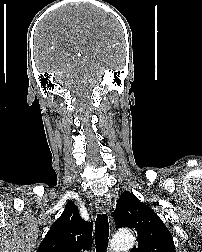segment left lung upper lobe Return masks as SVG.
I'll return each mask as SVG.
<instances>
[{"mask_svg":"<svg viewBox=\"0 0 202 252\" xmlns=\"http://www.w3.org/2000/svg\"><path fill=\"white\" fill-rule=\"evenodd\" d=\"M118 228L136 232L137 245L130 252H176L171 233L159 216L130 192L121 194L114 213Z\"/></svg>","mask_w":202,"mask_h":252,"instance_id":"1","label":"left lung upper lobe"}]
</instances>
